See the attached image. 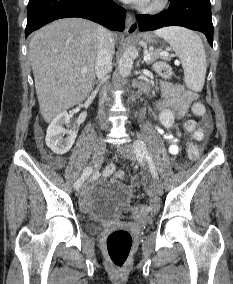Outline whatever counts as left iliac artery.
<instances>
[{
  "instance_id": "1",
  "label": "left iliac artery",
  "mask_w": 233,
  "mask_h": 284,
  "mask_svg": "<svg viewBox=\"0 0 233 284\" xmlns=\"http://www.w3.org/2000/svg\"><path fill=\"white\" fill-rule=\"evenodd\" d=\"M134 147H135V150H136V153L139 157H143L146 159V161L148 162L149 164V168H150V171L153 175L154 178L157 177V172H156V168H155V165L152 161V158L146 148V145L145 143L142 141V140H136L134 142Z\"/></svg>"
}]
</instances>
